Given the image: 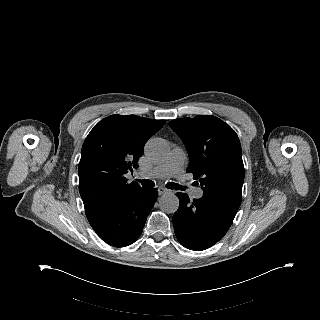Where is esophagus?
I'll use <instances>...</instances> for the list:
<instances>
[{"label":"esophagus","instance_id":"obj_1","mask_svg":"<svg viewBox=\"0 0 320 320\" xmlns=\"http://www.w3.org/2000/svg\"><path fill=\"white\" fill-rule=\"evenodd\" d=\"M169 192H170V190L167 189V188H165V187L160 186V187L158 188V194H159V195H163V194H166V193H169Z\"/></svg>","mask_w":320,"mask_h":320}]
</instances>
